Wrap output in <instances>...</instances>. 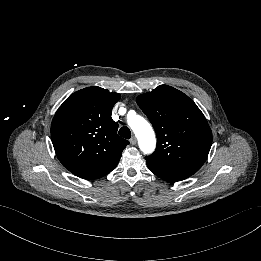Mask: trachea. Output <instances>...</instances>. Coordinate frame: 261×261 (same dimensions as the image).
Masks as SVG:
<instances>
[{
  "mask_svg": "<svg viewBox=\"0 0 261 261\" xmlns=\"http://www.w3.org/2000/svg\"><path fill=\"white\" fill-rule=\"evenodd\" d=\"M118 134L125 139L131 138V131L128 127H125V126L120 128Z\"/></svg>",
  "mask_w": 261,
  "mask_h": 261,
  "instance_id": "3493384b",
  "label": "trachea"
}]
</instances>
